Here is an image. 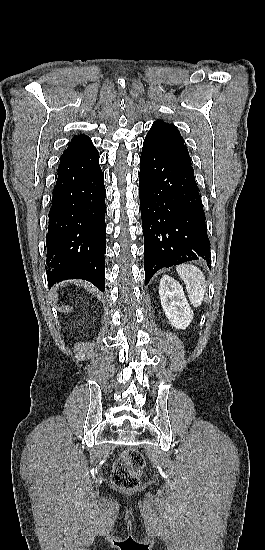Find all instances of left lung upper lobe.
Returning a JSON list of instances; mask_svg holds the SVG:
<instances>
[{
  "instance_id": "obj_1",
  "label": "left lung upper lobe",
  "mask_w": 265,
  "mask_h": 550,
  "mask_svg": "<svg viewBox=\"0 0 265 550\" xmlns=\"http://www.w3.org/2000/svg\"><path fill=\"white\" fill-rule=\"evenodd\" d=\"M146 143L161 148L191 163L184 139L173 124L157 120L145 137Z\"/></svg>"
}]
</instances>
